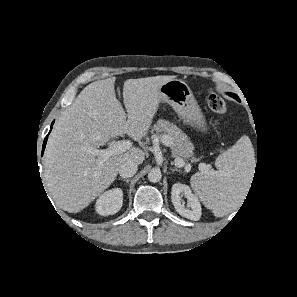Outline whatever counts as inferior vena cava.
<instances>
[{"label": "inferior vena cava", "instance_id": "inferior-vena-cava-1", "mask_svg": "<svg viewBox=\"0 0 297 297\" xmlns=\"http://www.w3.org/2000/svg\"><path fill=\"white\" fill-rule=\"evenodd\" d=\"M137 163L132 160H127L119 168V174L123 178L132 177L137 172Z\"/></svg>", "mask_w": 297, "mask_h": 297}]
</instances>
